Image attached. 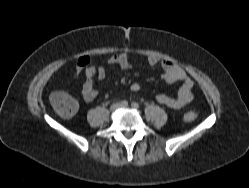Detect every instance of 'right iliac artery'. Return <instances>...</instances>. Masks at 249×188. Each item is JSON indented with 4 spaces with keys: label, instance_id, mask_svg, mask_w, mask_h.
<instances>
[{
    "label": "right iliac artery",
    "instance_id": "82829eb1",
    "mask_svg": "<svg viewBox=\"0 0 249 188\" xmlns=\"http://www.w3.org/2000/svg\"><path fill=\"white\" fill-rule=\"evenodd\" d=\"M121 105H122L123 107H126V106H128V102H127L126 100H124V101L121 102Z\"/></svg>",
    "mask_w": 249,
    "mask_h": 188
}]
</instances>
